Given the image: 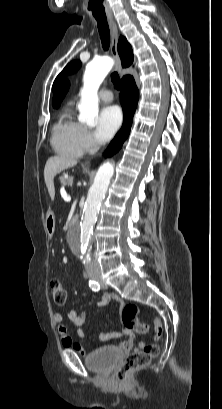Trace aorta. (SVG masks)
I'll return each instance as SVG.
<instances>
[{
  "mask_svg": "<svg viewBox=\"0 0 222 409\" xmlns=\"http://www.w3.org/2000/svg\"><path fill=\"white\" fill-rule=\"evenodd\" d=\"M112 66L113 60L109 57L95 59L86 66L79 105V120L89 126L95 124V118L98 115L97 92ZM113 174L114 166L112 163L106 162L100 166L89 190L80 223L74 230L72 243L82 257L86 256L89 250L97 213Z\"/></svg>",
  "mask_w": 222,
  "mask_h": 409,
  "instance_id": "1",
  "label": "aorta"
}]
</instances>
